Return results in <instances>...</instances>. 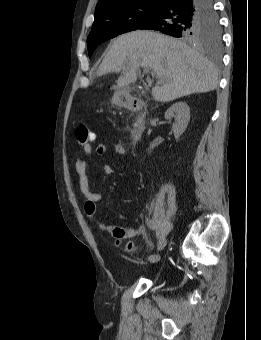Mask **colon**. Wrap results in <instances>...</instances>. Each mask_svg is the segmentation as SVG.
<instances>
[{
	"instance_id": "1",
	"label": "colon",
	"mask_w": 261,
	"mask_h": 340,
	"mask_svg": "<svg viewBox=\"0 0 261 340\" xmlns=\"http://www.w3.org/2000/svg\"><path fill=\"white\" fill-rule=\"evenodd\" d=\"M75 139L80 146L94 141L96 139V134L88 129L85 124H79L75 129ZM117 244H120V240L117 239ZM135 250V245L129 242L125 245V251L133 252Z\"/></svg>"
}]
</instances>
